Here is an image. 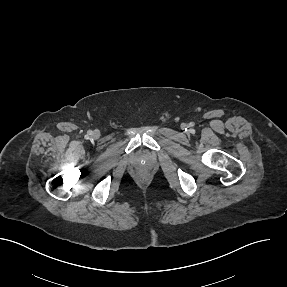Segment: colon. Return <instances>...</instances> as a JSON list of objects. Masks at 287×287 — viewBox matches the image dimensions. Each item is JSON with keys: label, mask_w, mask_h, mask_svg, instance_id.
Listing matches in <instances>:
<instances>
[{"label": "colon", "mask_w": 287, "mask_h": 287, "mask_svg": "<svg viewBox=\"0 0 287 287\" xmlns=\"http://www.w3.org/2000/svg\"><path fill=\"white\" fill-rule=\"evenodd\" d=\"M140 178H141V180H144V179H145V177H144V176H141Z\"/></svg>", "instance_id": "obj_1"}]
</instances>
